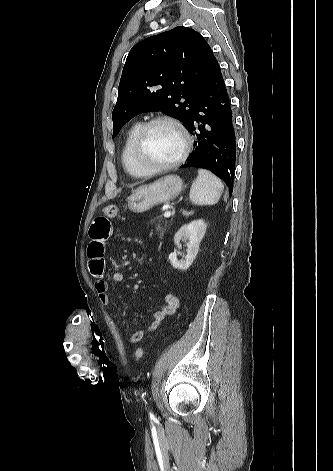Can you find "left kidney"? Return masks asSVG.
Wrapping results in <instances>:
<instances>
[{
	"instance_id": "5707ae66",
	"label": "left kidney",
	"mask_w": 333,
	"mask_h": 471,
	"mask_svg": "<svg viewBox=\"0 0 333 471\" xmlns=\"http://www.w3.org/2000/svg\"><path fill=\"white\" fill-rule=\"evenodd\" d=\"M206 232V223L204 220H194L189 224L183 225L175 234L174 243L177 248H181V241H187V250L185 259H178L179 251L175 250L169 254L171 265L179 270H187L194 261L199 244Z\"/></svg>"
}]
</instances>
